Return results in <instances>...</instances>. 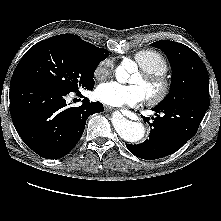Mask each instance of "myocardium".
Segmentation results:
<instances>
[{"mask_svg": "<svg viewBox=\"0 0 221 221\" xmlns=\"http://www.w3.org/2000/svg\"><path fill=\"white\" fill-rule=\"evenodd\" d=\"M147 84L153 86V90L146 95L147 102L152 105L161 103L170 93L171 82L163 73H153L146 70L140 72Z\"/></svg>", "mask_w": 221, "mask_h": 221, "instance_id": "1", "label": "myocardium"}]
</instances>
